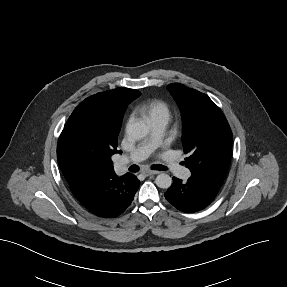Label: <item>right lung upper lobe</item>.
I'll return each mask as SVG.
<instances>
[{"label":"right lung upper lobe","mask_w":287,"mask_h":287,"mask_svg":"<svg viewBox=\"0 0 287 287\" xmlns=\"http://www.w3.org/2000/svg\"><path fill=\"white\" fill-rule=\"evenodd\" d=\"M140 92L129 88H116L100 92L86 98L77 106L92 119L90 134L107 140L113 151H117V137L120 132L123 114L130 102L140 96ZM64 175V174H63ZM115 175L113 165L107 167L100 177ZM68 185L74 186L86 181L64 175Z\"/></svg>","instance_id":"1"}]
</instances>
